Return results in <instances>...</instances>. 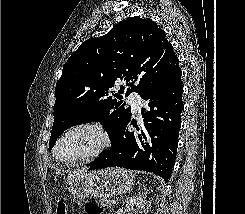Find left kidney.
I'll list each match as a JSON object with an SVG mask.
<instances>
[{"mask_svg":"<svg viewBox=\"0 0 245 214\" xmlns=\"http://www.w3.org/2000/svg\"><path fill=\"white\" fill-rule=\"evenodd\" d=\"M126 206L130 214H147L142 197H133Z\"/></svg>","mask_w":245,"mask_h":214,"instance_id":"5707ae66","label":"left kidney"}]
</instances>
